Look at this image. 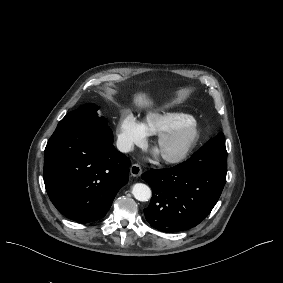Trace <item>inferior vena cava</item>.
Returning a JSON list of instances; mask_svg holds the SVG:
<instances>
[{
	"mask_svg": "<svg viewBox=\"0 0 283 283\" xmlns=\"http://www.w3.org/2000/svg\"><path fill=\"white\" fill-rule=\"evenodd\" d=\"M116 145L120 152L127 153L132 149V143L128 140L118 139Z\"/></svg>",
	"mask_w": 283,
	"mask_h": 283,
	"instance_id": "inferior-vena-cava-1",
	"label": "inferior vena cava"
}]
</instances>
